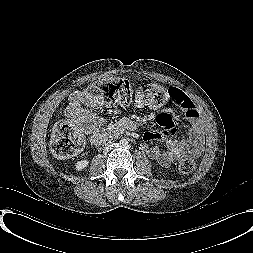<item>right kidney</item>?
Returning <instances> with one entry per match:
<instances>
[{
  "label": "right kidney",
  "instance_id": "obj_1",
  "mask_svg": "<svg viewBox=\"0 0 253 253\" xmlns=\"http://www.w3.org/2000/svg\"><path fill=\"white\" fill-rule=\"evenodd\" d=\"M88 165H89V161L87 159L81 160L75 164V169L77 171H81V170L85 169Z\"/></svg>",
  "mask_w": 253,
  "mask_h": 253
}]
</instances>
